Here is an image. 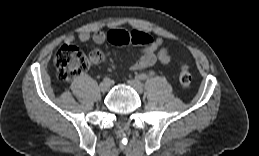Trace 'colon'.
Segmentation results:
<instances>
[{"label": "colon", "instance_id": "obj_1", "mask_svg": "<svg viewBox=\"0 0 259 156\" xmlns=\"http://www.w3.org/2000/svg\"><path fill=\"white\" fill-rule=\"evenodd\" d=\"M108 41L117 46L128 44L147 45L153 39L143 31L111 30L108 33ZM54 64L58 78L67 82L84 73L89 66L86 55L78 47L70 44L61 46L55 54ZM192 76L188 65L183 64L180 69L179 82L183 88H189Z\"/></svg>", "mask_w": 259, "mask_h": 156}]
</instances>
